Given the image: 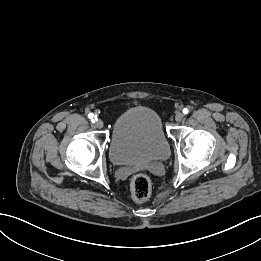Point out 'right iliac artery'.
<instances>
[{
  "instance_id": "1",
  "label": "right iliac artery",
  "mask_w": 261,
  "mask_h": 261,
  "mask_svg": "<svg viewBox=\"0 0 261 261\" xmlns=\"http://www.w3.org/2000/svg\"><path fill=\"white\" fill-rule=\"evenodd\" d=\"M88 118L91 119L92 123H95V121L97 120V119H93L94 115L92 113L88 114Z\"/></svg>"
}]
</instances>
